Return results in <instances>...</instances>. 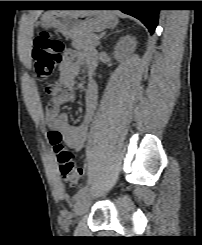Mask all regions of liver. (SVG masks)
Listing matches in <instances>:
<instances>
[{"mask_svg": "<svg viewBox=\"0 0 202 245\" xmlns=\"http://www.w3.org/2000/svg\"><path fill=\"white\" fill-rule=\"evenodd\" d=\"M42 11H38L37 14H36V17H38L40 14H41Z\"/></svg>", "mask_w": 202, "mask_h": 245, "instance_id": "6515ba94", "label": "liver"}]
</instances>
